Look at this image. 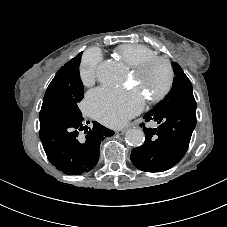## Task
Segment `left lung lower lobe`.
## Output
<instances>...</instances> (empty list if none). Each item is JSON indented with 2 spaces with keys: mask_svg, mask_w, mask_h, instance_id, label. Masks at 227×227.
<instances>
[{
  "mask_svg": "<svg viewBox=\"0 0 227 227\" xmlns=\"http://www.w3.org/2000/svg\"><path fill=\"white\" fill-rule=\"evenodd\" d=\"M144 119L159 125L147 128L144 123L140 124L146 134L145 142L132 150L131 161L146 172L166 171L185 155L196 126V114L176 109L164 112L151 110Z\"/></svg>",
  "mask_w": 227,
  "mask_h": 227,
  "instance_id": "1",
  "label": "left lung lower lobe"
}]
</instances>
